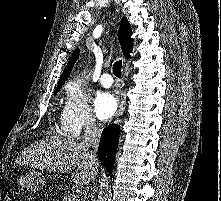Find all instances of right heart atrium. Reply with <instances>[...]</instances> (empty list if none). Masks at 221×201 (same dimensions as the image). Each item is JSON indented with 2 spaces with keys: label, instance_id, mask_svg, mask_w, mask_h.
I'll list each match as a JSON object with an SVG mask.
<instances>
[{
  "label": "right heart atrium",
  "instance_id": "d8ad5b80",
  "mask_svg": "<svg viewBox=\"0 0 221 201\" xmlns=\"http://www.w3.org/2000/svg\"><path fill=\"white\" fill-rule=\"evenodd\" d=\"M61 124L63 130L72 135H78L84 130L96 127V119L92 113L88 95L80 84L71 83L67 87Z\"/></svg>",
  "mask_w": 221,
  "mask_h": 201
}]
</instances>
